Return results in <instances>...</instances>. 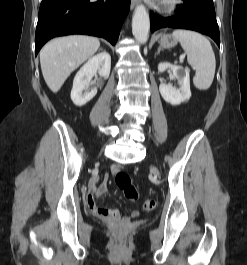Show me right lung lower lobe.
Returning a JSON list of instances; mask_svg holds the SVG:
<instances>
[{"label": "right lung lower lobe", "instance_id": "98d812e1", "mask_svg": "<svg viewBox=\"0 0 247 265\" xmlns=\"http://www.w3.org/2000/svg\"><path fill=\"white\" fill-rule=\"evenodd\" d=\"M130 0H42L35 34V54L51 38L87 34L115 45Z\"/></svg>", "mask_w": 247, "mask_h": 265}]
</instances>
